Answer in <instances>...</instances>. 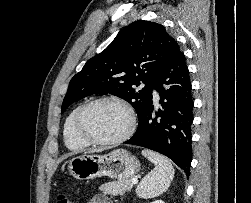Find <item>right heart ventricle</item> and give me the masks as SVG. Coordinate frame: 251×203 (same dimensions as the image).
Wrapping results in <instances>:
<instances>
[{
	"label": "right heart ventricle",
	"mask_w": 251,
	"mask_h": 203,
	"mask_svg": "<svg viewBox=\"0 0 251 203\" xmlns=\"http://www.w3.org/2000/svg\"><path fill=\"white\" fill-rule=\"evenodd\" d=\"M80 106L73 108L67 115L63 124V140L66 147L71 151H81L88 147V144L80 140L73 129L75 115Z\"/></svg>",
	"instance_id": "right-heart-ventricle-1"
}]
</instances>
